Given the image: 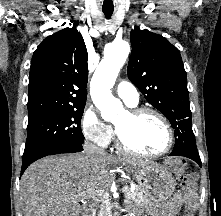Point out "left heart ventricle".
<instances>
[{
    "mask_svg": "<svg viewBox=\"0 0 221 216\" xmlns=\"http://www.w3.org/2000/svg\"><path fill=\"white\" fill-rule=\"evenodd\" d=\"M115 126L125 142L141 152H159L167 144V131L163 123L153 115H144L138 119L123 112Z\"/></svg>",
    "mask_w": 221,
    "mask_h": 216,
    "instance_id": "b2bd125f",
    "label": "left heart ventricle"
}]
</instances>
